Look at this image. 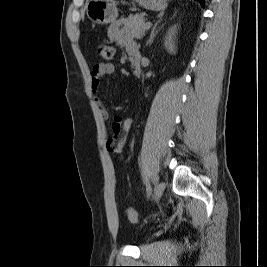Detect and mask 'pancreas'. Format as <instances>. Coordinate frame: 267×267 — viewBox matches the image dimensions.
I'll use <instances>...</instances> for the list:
<instances>
[{
    "label": "pancreas",
    "mask_w": 267,
    "mask_h": 267,
    "mask_svg": "<svg viewBox=\"0 0 267 267\" xmlns=\"http://www.w3.org/2000/svg\"><path fill=\"white\" fill-rule=\"evenodd\" d=\"M144 16V14H136L124 20V29L132 38L141 39L145 35Z\"/></svg>",
    "instance_id": "1"
}]
</instances>
